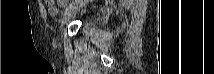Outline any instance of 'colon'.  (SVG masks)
I'll return each instance as SVG.
<instances>
[{"label":"colon","instance_id":"1","mask_svg":"<svg viewBox=\"0 0 214 74\" xmlns=\"http://www.w3.org/2000/svg\"><path fill=\"white\" fill-rule=\"evenodd\" d=\"M67 1L66 0H46L47 4L53 5L55 3H58L60 5H64Z\"/></svg>","mask_w":214,"mask_h":74}]
</instances>
